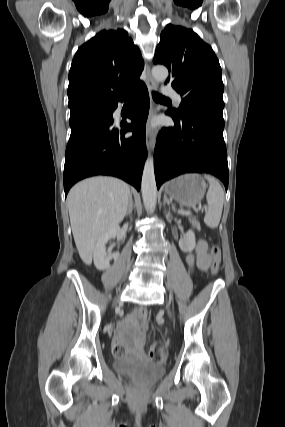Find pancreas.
Masks as SVG:
<instances>
[{
    "instance_id": "cf45deb5",
    "label": "pancreas",
    "mask_w": 285,
    "mask_h": 427,
    "mask_svg": "<svg viewBox=\"0 0 285 427\" xmlns=\"http://www.w3.org/2000/svg\"><path fill=\"white\" fill-rule=\"evenodd\" d=\"M191 222H192L194 225H198V222H197L195 219H192V220H191Z\"/></svg>"
}]
</instances>
